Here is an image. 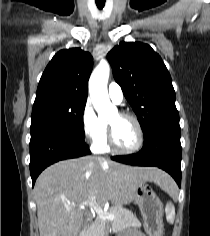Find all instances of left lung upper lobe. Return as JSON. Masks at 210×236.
Wrapping results in <instances>:
<instances>
[{
  "mask_svg": "<svg viewBox=\"0 0 210 236\" xmlns=\"http://www.w3.org/2000/svg\"><path fill=\"white\" fill-rule=\"evenodd\" d=\"M107 58L144 135L159 124L179 123L171 76L161 57L149 45L123 42L115 46Z\"/></svg>",
  "mask_w": 210,
  "mask_h": 236,
  "instance_id": "1",
  "label": "left lung upper lobe"
}]
</instances>
